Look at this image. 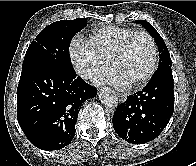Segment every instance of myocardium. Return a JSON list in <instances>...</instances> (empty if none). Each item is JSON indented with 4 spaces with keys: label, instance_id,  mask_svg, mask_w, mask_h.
Returning <instances> with one entry per match:
<instances>
[{
    "label": "myocardium",
    "instance_id": "1",
    "mask_svg": "<svg viewBox=\"0 0 196 166\" xmlns=\"http://www.w3.org/2000/svg\"><path fill=\"white\" fill-rule=\"evenodd\" d=\"M136 35H143L149 40L150 45H151V49H152V62H151L149 69L147 70V72L143 76H141L136 81L130 83V85H132V86H140V85H143L146 82H148L151 79V77L154 75V73L157 69L158 60H159L158 48H157L156 42H155L154 38L152 37V35L145 30H133L130 34H128L123 39L122 43L120 44V46L117 48V50L115 51V53L111 57V59H110L111 66H113L115 64V62L126 53L129 42Z\"/></svg>",
    "mask_w": 196,
    "mask_h": 166
}]
</instances>
